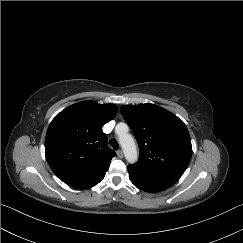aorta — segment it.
I'll return each mask as SVG.
<instances>
[{
	"label": "aorta",
	"mask_w": 243,
	"mask_h": 243,
	"mask_svg": "<svg viewBox=\"0 0 243 243\" xmlns=\"http://www.w3.org/2000/svg\"><path fill=\"white\" fill-rule=\"evenodd\" d=\"M123 128H127V126L124 124ZM119 141L126 160L129 163H135L138 159V152L133 136L128 133H119Z\"/></svg>",
	"instance_id": "obj_1"
}]
</instances>
